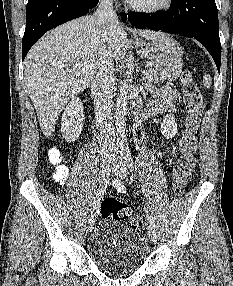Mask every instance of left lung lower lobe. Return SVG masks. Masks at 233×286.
<instances>
[{
  "instance_id": "left-lung-lower-lobe-1",
  "label": "left lung lower lobe",
  "mask_w": 233,
  "mask_h": 286,
  "mask_svg": "<svg viewBox=\"0 0 233 286\" xmlns=\"http://www.w3.org/2000/svg\"><path fill=\"white\" fill-rule=\"evenodd\" d=\"M128 20L140 28L195 38L208 50L220 71L221 44L215 0H172L164 13L130 12Z\"/></svg>"
}]
</instances>
